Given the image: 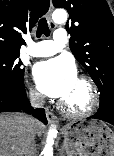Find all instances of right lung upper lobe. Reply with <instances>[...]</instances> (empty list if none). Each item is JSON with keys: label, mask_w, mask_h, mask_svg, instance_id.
<instances>
[{"label": "right lung upper lobe", "mask_w": 114, "mask_h": 156, "mask_svg": "<svg viewBox=\"0 0 114 156\" xmlns=\"http://www.w3.org/2000/svg\"><path fill=\"white\" fill-rule=\"evenodd\" d=\"M49 0H0V53H20L21 34L49 9Z\"/></svg>", "instance_id": "cb5924a9"}]
</instances>
